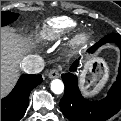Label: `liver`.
Segmentation results:
<instances>
[{
	"instance_id": "liver-1",
	"label": "liver",
	"mask_w": 121,
	"mask_h": 121,
	"mask_svg": "<svg viewBox=\"0 0 121 121\" xmlns=\"http://www.w3.org/2000/svg\"><path fill=\"white\" fill-rule=\"evenodd\" d=\"M34 44L13 29L1 28V98L7 95L19 76V65Z\"/></svg>"
}]
</instances>
